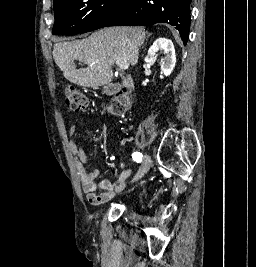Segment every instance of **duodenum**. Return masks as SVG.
Here are the masks:
<instances>
[{"instance_id":"1","label":"duodenum","mask_w":256,"mask_h":267,"mask_svg":"<svg viewBox=\"0 0 256 267\" xmlns=\"http://www.w3.org/2000/svg\"><path fill=\"white\" fill-rule=\"evenodd\" d=\"M122 85L124 88L131 90L134 87V81L132 77H126L122 81Z\"/></svg>"}]
</instances>
